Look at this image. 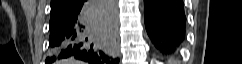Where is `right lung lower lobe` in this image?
I'll return each instance as SVG.
<instances>
[{
  "mask_svg": "<svg viewBox=\"0 0 242 64\" xmlns=\"http://www.w3.org/2000/svg\"><path fill=\"white\" fill-rule=\"evenodd\" d=\"M116 0H78L76 7L49 24L46 64L75 58L89 64H116L113 56Z\"/></svg>",
  "mask_w": 242,
  "mask_h": 64,
  "instance_id": "right-lung-lower-lobe-1",
  "label": "right lung lower lobe"
}]
</instances>
